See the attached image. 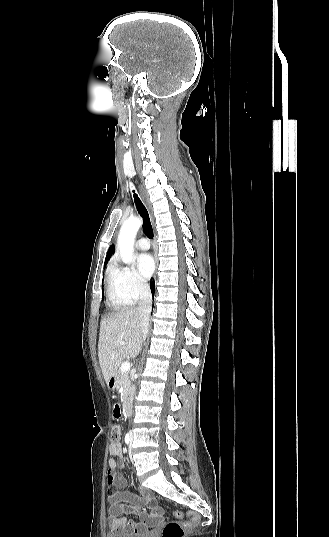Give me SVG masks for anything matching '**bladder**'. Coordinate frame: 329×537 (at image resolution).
<instances>
[{
    "instance_id": "bladder-1",
    "label": "bladder",
    "mask_w": 329,
    "mask_h": 537,
    "mask_svg": "<svg viewBox=\"0 0 329 537\" xmlns=\"http://www.w3.org/2000/svg\"><path fill=\"white\" fill-rule=\"evenodd\" d=\"M106 537H153V535L151 533L131 535V534H127L121 531H109Z\"/></svg>"
}]
</instances>
